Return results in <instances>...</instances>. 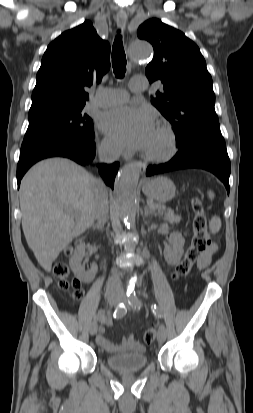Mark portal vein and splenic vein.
<instances>
[{
  "mask_svg": "<svg viewBox=\"0 0 253 413\" xmlns=\"http://www.w3.org/2000/svg\"><path fill=\"white\" fill-rule=\"evenodd\" d=\"M149 206L151 207V208H153V209H155L156 208V206L154 205V204H149Z\"/></svg>",
  "mask_w": 253,
  "mask_h": 413,
  "instance_id": "portal-vein-and-splenic-vein-1",
  "label": "portal vein and splenic vein"
}]
</instances>
